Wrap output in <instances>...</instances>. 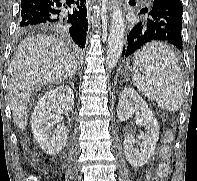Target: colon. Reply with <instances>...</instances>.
Wrapping results in <instances>:
<instances>
[{
    "label": "colon",
    "instance_id": "1",
    "mask_svg": "<svg viewBox=\"0 0 197 181\" xmlns=\"http://www.w3.org/2000/svg\"><path fill=\"white\" fill-rule=\"evenodd\" d=\"M170 138V134H167L166 140L169 141ZM161 156L164 161L159 166V177L166 178L170 174V152L166 146L161 149Z\"/></svg>",
    "mask_w": 197,
    "mask_h": 181
}]
</instances>
